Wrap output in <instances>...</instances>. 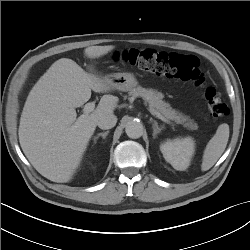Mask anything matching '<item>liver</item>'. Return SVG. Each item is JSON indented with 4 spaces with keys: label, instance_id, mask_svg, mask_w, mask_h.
Segmentation results:
<instances>
[{
    "label": "liver",
    "instance_id": "obj_1",
    "mask_svg": "<svg viewBox=\"0 0 250 250\" xmlns=\"http://www.w3.org/2000/svg\"><path fill=\"white\" fill-rule=\"evenodd\" d=\"M114 48L90 46L84 55L95 59ZM112 89L104 77L86 72L68 58L55 61L37 81L25 102L18 135L25 156L42 176L57 183L72 179L99 117L113 114L119 99L103 95L91 114L78 118L75 108L90 99L91 90L103 93Z\"/></svg>",
    "mask_w": 250,
    "mask_h": 250
}]
</instances>
